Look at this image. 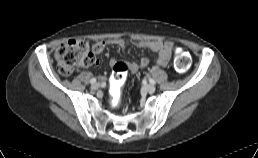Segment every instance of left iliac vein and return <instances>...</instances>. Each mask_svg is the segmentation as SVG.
<instances>
[{"label":"left iliac vein","mask_w":258,"mask_h":158,"mask_svg":"<svg viewBox=\"0 0 258 158\" xmlns=\"http://www.w3.org/2000/svg\"><path fill=\"white\" fill-rule=\"evenodd\" d=\"M145 90L149 93H153V92H155L156 87L153 84H147V85H145Z\"/></svg>","instance_id":"obj_1"}]
</instances>
